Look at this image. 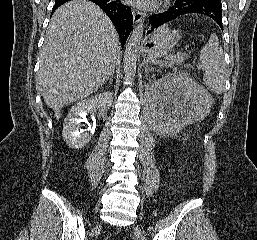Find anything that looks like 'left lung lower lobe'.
I'll use <instances>...</instances> for the list:
<instances>
[{"mask_svg":"<svg viewBox=\"0 0 257 240\" xmlns=\"http://www.w3.org/2000/svg\"><path fill=\"white\" fill-rule=\"evenodd\" d=\"M221 7V0H175L167 11L149 17L150 25L147 34L157 27L187 14L207 16L213 19L223 30Z\"/></svg>","mask_w":257,"mask_h":240,"instance_id":"0a47b994","label":"left lung lower lobe"}]
</instances>
